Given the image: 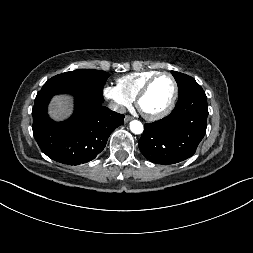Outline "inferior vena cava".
<instances>
[{
  "label": "inferior vena cava",
  "mask_w": 253,
  "mask_h": 253,
  "mask_svg": "<svg viewBox=\"0 0 253 253\" xmlns=\"http://www.w3.org/2000/svg\"><path fill=\"white\" fill-rule=\"evenodd\" d=\"M109 108L113 111H117L119 113H126V108L122 105H119L115 102H110L109 103Z\"/></svg>",
  "instance_id": "obj_1"
}]
</instances>
